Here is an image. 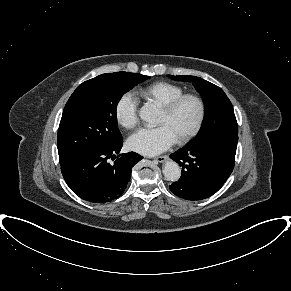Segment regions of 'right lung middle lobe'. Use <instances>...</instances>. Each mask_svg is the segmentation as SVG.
<instances>
[{
  "label": "right lung middle lobe",
  "mask_w": 291,
  "mask_h": 291,
  "mask_svg": "<svg viewBox=\"0 0 291 291\" xmlns=\"http://www.w3.org/2000/svg\"><path fill=\"white\" fill-rule=\"evenodd\" d=\"M149 78L115 72L80 84L65 105L58 129L60 165L86 151L119 142L122 136L118 130L117 104L124 93Z\"/></svg>",
  "instance_id": "right-lung-middle-lobe-1"
}]
</instances>
